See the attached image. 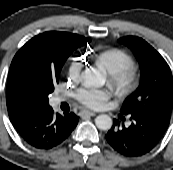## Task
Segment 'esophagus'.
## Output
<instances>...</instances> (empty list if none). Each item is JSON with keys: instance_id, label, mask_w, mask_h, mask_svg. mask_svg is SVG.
<instances>
[{"instance_id": "34e87169", "label": "esophagus", "mask_w": 173, "mask_h": 170, "mask_svg": "<svg viewBox=\"0 0 173 170\" xmlns=\"http://www.w3.org/2000/svg\"><path fill=\"white\" fill-rule=\"evenodd\" d=\"M89 115L90 116H94L95 115V112H89Z\"/></svg>"}]
</instances>
